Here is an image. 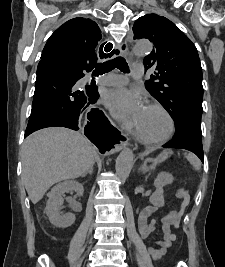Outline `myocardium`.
Here are the masks:
<instances>
[{
	"label": "myocardium",
	"instance_id": "f54148a6",
	"mask_svg": "<svg viewBox=\"0 0 225 267\" xmlns=\"http://www.w3.org/2000/svg\"><path fill=\"white\" fill-rule=\"evenodd\" d=\"M145 108L157 109V110H160L161 112H163L170 122V131H169L168 135L165 136L164 138L154 140V139L147 138L141 132V130L138 127H136V133H137L139 139H141L143 142H145L147 144H153V145L164 144V143L168 142L169 140H171L175 134V131H176V123H175V120H174L172 114L164 106L157 104V103H149L146 105Z\"/></svg>",
	"mask_w": 225,
	"mask_h": 267
}]
</instances>
